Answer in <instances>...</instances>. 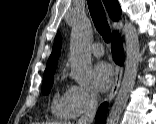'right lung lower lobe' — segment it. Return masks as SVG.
Wrapping results in <instances>:
<instances>
[{"label":"right lung lower lobe","instance_id":"1","mask_svg":"<svg viewBox=\"0 0 156 124\" xmlns=\"http://www.w3.org/2000/svg\"><path fill=\"white\" fill-rule=\"evenodd\" d=\"M113 58L116 63L123 64L124 52L121 37L117 32H113V41L111 45ZM107 114V103H103L97 113L96 124H105Z\"/></svg>","mask_w":156,"mask_h":124}]
</instances>
